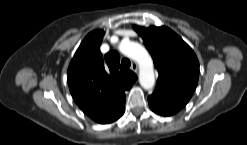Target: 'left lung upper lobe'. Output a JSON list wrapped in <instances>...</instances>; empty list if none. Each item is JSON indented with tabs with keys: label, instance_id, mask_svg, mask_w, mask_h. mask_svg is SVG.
I'll use <instances>...</instances> for the list:
<instances>
[{
	"label": "left lung upper lobe",
	"instance_id": "5c2ea615",
	"mask_svg": "<svg viewBox=\"0 0 247 145\" xmlns=\"http://www.w3.org/2000/svg\"><path fill=\"white\" fill-rule=\"evenodd\" d=\"M134 29L150 52L159 77L156 87L191 98L198 82L199 62L193 50L167 27Z\"/></svg>",
	"mask_w": 247,
	"mask_h": 145
}]
</instances>
